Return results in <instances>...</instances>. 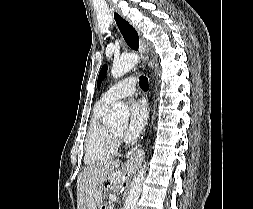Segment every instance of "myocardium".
I'll return each instance as SVG.
<instances>
[{"instance_id": "1", "label": "myocardium", "mask_w": 253, "mask_h": 209, "mask_svg": "<svg viewBox=\"0 0 253 209\" xmlns=\"http://www.w3.org/2000/svg\"><path fill=\"white\" fill-rule=\"evenodd\" d=\"M112 134H113V136H114L116 142H117V141H120V139H121L120 133H117V132H115V131L112 129Z\"/></svg>"}]
</instances>
